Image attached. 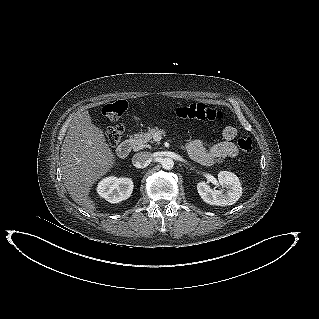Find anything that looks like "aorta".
I'll list each match as a JSON object with an SVG mask.
<instances>
[{"label": "aorta", "instance_id": "762f6f07", "mask_svg": "<svg viewBox=\"0 0 319 319\" xmlns=\"http://www.w3.org/2000/svg\"><path fill=\"white\" fill-rule=\"evenodd\" d=\"M163 169L170 170L174 167V161L171 158H164L161 162Z\"/></svg>", "mask_w": 319, "mask_h": 319}]
</instances>
